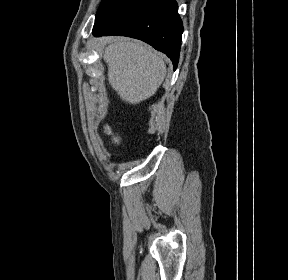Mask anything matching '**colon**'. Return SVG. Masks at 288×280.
<instances>
[{
  "instance_id": "5ec220e1",
  "label": "colon",
  "mask_w": 288,
  "mask_h": 280,
  "mask_svg": "<svg viewBox=\"0 0 288 280\" xmlns=\"http://www.w3.org/2000/svg\"><path fill=\"white\" fill-rule=\"evenodd\" d=\"M104 132L108 135L111 136L112 141L116 144V145H120L121 144V138L119 136H117L112 129L109 126H105L104 127Z\"/></svg>"
}]
</instances>
